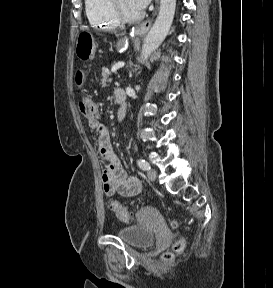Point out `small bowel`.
Here are the masks:
<instances>
[{"label":"small bowel","instance_id":"small-bowel-1","mask_svg":"<svg viewBox=\"0 0 273 288\" xmlns=\"http://www.w3.org/2000/svg\"><path fill=\"white\" fill-rule=\"evenodd\" d=\"M88 126L97 135L99 152L103 159L102 183L105 194L111 196L117 193L124 197L139 194L141 183L122 169L110 144L107 126L97 120H90Z\"/></svg>","mask_w":273,"mask_h":288}]
</instances>
